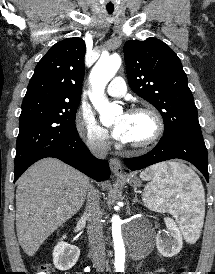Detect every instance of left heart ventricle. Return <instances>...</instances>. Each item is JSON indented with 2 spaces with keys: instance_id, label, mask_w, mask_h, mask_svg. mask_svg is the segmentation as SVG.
Listing matches in <instances>:
<instances>
[{
  "instance_id": "left-heart-ventricle-1",
  "label": "left heart ventricle",
  "mask_w": 215,
  "mask_h": 274,
  "mask_svg": "<svg viewBox=\"0 0 215 274\" xmlns=\"http://www.w3.org/2000/svg\"><path fill=\"white\" fill-rule=\"evenodd\" d=\"M153 130V121L147 114H128L126 142L133 143L144 141L152 135Z\"/></svg>"
}]
</instances>
